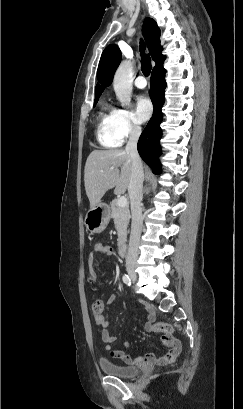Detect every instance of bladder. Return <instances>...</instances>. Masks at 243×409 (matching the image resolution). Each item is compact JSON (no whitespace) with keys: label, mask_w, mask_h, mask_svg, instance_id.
<instances>
[{"label":"bladder","mask_w":243,"mask_h":409,"mask_svg":"<svg viewBox=\"0 0 243 409\" xmlns=\"http://www.w3.org/2000/svg\"><path fill=\"white\" fill-rule=\"evenodd\" d=\"M98 366L105 374L118 378H132L141 372L138 366H124L112 361L101 360Z\"/></svg>","instance_id":"obj_1"}]
</instances>
